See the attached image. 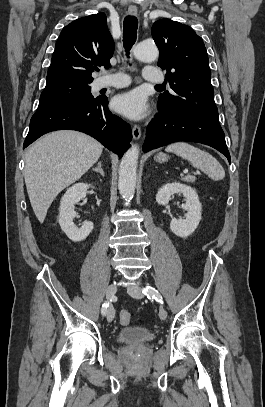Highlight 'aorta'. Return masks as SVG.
<instances>
[{
	"label": "aorta",
	"mask_w": 265,
	"mask_h": 407,
	"mask_svg": "<svg viewBox=\"0 0 265 407\" xmlns=\"http://www.w3.org/2000/svg\"><path fill=\"white\" fill-rule=\"evenodd\" d=\"M133 52L134 56L143 62L155 61L159 56L155 44L149 42L138 43ZM138 156V146L132 145L124 154L120 163L118 189L125 200H130L135 193Z\"/></svg>",
	"instance_id": "762f6f07"
}]
</instances>
